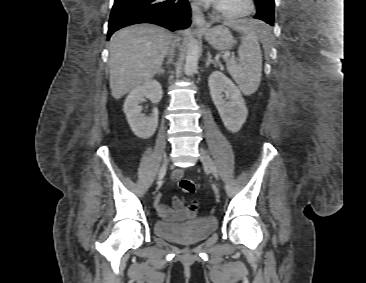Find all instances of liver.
Returning a JSON list of instances; mask_svg holds the SVG:
<instances>
[{
  "label": "liver",
  "instance_id": "obj_1",
  "mask_svg": "<svg viewBox=\"0 0 366 283\" xmlns=\"http://www.w3.org/2000/svg\"><path fill=\"white\" fill-rule=\"evenodd\" d=\"M227 25L236 31L247 30L238 22ZM264 29L268 30H258ZM172 37L168 30L149 23L125 27L112 35L109 68L110 89L115 99L154 77L168 53Z\"/></svg>",
  "mask_w": 366,
  "mask_h": 283
}]
</instances>
